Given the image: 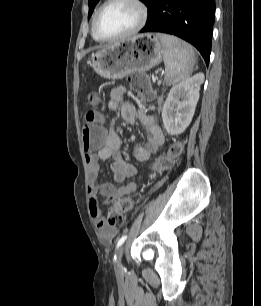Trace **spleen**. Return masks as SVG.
<instances>
[{
    "instance_id": "spleen-1",
    "label": "spleen",
    "mask_w": 261,
    "mask_h": 306,
    "mask_svg": "<svg viewBox=\"0 0 261 306\" xmlns=\"http://www.w3.org/2000/svg\"><path fill=\"white\" fill-rule=\"evenodd\" d=\"M157 37L163 47L166 84L173 85L185 80L195 63V53L192 47L172 35L158 33Z\"/></svg>"
}]
</instances>
